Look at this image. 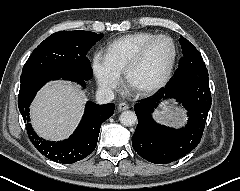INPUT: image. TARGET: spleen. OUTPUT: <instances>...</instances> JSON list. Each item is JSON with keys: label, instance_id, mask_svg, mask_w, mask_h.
I'll return each instance as SVG.
<instances>
[{"label": "spleen", "instance_id": "obj_1", "mask_svg": "<svg viewBox=\"0 0 240 191\" xmlns=\"http://www.w3.org/2000/svg\"><path fill=\"white\" fill-rule=\"evenodd\" d=\"M156 118L160 122H165V123L176 124L178 122V119L175 116L171 115V114H167V115L157 114Z\"/></svg>", "mask_w": 240, "mask_h": 191}]
</instances>
